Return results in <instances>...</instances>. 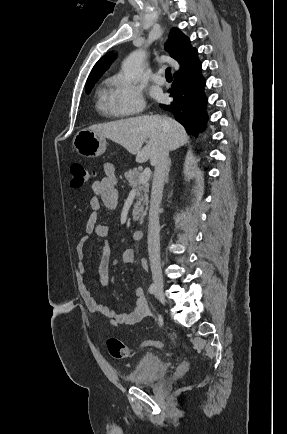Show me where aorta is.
<instances>
[{
    "label": "aorta",
    "mask_w": 287,
    "mask_h": 434,
    "mask_svg": "<svg viewBox=\"0 0 287 434\" xmlns=\"http://www.w3.org/2000/svg\"><path fill=\"white\" fill-rule=\"evenodd\" d=\"M145 51L142 49L132 52L122 64L123 77L128 82H133L142 70V63L145 58Z\"/></svg>",
    "instance_id": "762f6f07"
}]
</instances>
